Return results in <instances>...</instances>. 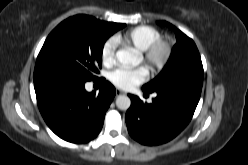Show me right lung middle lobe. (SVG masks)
Instances as JSON below:
<instances>
[{
	"mask_svg": "<svg viewBox=\"0 0 248 165\" xmlns=\"http://www.w3.org/2000/svg\"><path fill=\"white\" fill-rule=\"evenodd\" d=\"M124 26L101 28L76 16L64 20L49 34L39 52L34 82L53 76L82 82L95 80L102 67L105 41Z\"/></svg>",
	"mask_w": 248,
	"mask_h": 165,
	"instance_id": "1",
	"label": "right lung middle lobe"
}]
</instances>
